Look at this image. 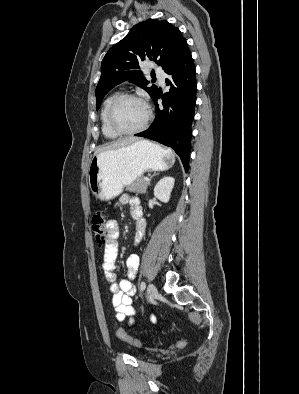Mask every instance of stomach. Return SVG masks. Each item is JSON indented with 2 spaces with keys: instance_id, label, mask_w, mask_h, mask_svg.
I'll use <instances>...</instances> for the list:
<instances>
[{
  "instance_id": "1",
  "label": "stomach",
  "mask_w": 299,
  "mask_h": 394,
  "mask_svg": "<svg viewBox=\"0 0 299 394\" xmlns=\"http://www.w3.org/2000/svg\"><path fill=\"white\" fill-rule=\"evenodd\" d=\"M174 163L175 156L170 150L147 140H139L96 154L87 173L89 187L96 198L110 200L144 172L167 170Z\"/></svg>"
}]
</instances>
